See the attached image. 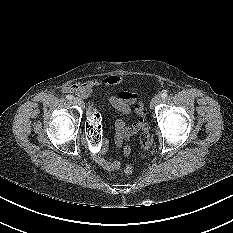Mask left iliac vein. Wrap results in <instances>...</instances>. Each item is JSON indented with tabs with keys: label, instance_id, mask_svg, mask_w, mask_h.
Returning a JSON list of instances; mask_svg holds the SVG:
<instances>
[{
	"label": "left iliac vein",
	"instance_id": "4c4485c4",
	"mask_svg": "<svg viewBox=\"0 0 233 233\" xmlns=\"http://www.w3.org/2000/svg\"><path fill=\"white\" fill-rule=\"evenodd\" d=\"M160 102H161V96L159 94H157L152 98L151 103H150V107L154 108Z\"/></svg>",
	"mask_w": 233,
	"mask_h": 233
}]
</instances>
